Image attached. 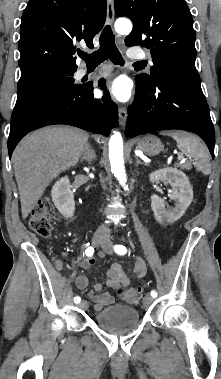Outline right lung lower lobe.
<instances>
[{
	"mask_svg": "<svg viewBox=\"0 0 221 379\" xmlns=\"http://www.w3.org/2000/svg\"><path fill=\"white\" fill-rule=\"evenodd\" d=\"M99 86L105 90L101 100L94 99L93 85L88 83L77 89H59L55 96L36 101L21 116L11 121L9 157L27 133L47 125H72L109 136L111 129L118 125V110L110 99L104 80L99 81Z\"/></svg>",
	"mask_w": 221,
	"mask_h": 379,
	"instance_id": "1",
	"label": "right lung lower lobe"
}]
</instances>
